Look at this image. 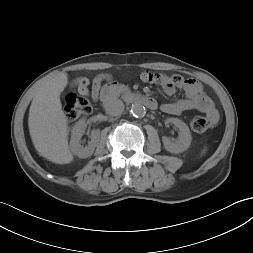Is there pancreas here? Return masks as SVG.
I'll return each instance as SVG.
<instances>
[{
    "instance_id": "1",
    "label": "pancreas",
    "mask_w": 253,
    "mask_h": 253,
    "mask_svg": "<svg viewBox=\"0 0 253 253\" xmlns=\"http://www.w3.org/2000/svg\"><path fill=\"white\" fill-rule=\"evenodd\" d=\"M129 91L130 90H129V88L127 86H124V85H120L119 86V92H125V93H127Z\"/></svg>"
}]
</instances>
